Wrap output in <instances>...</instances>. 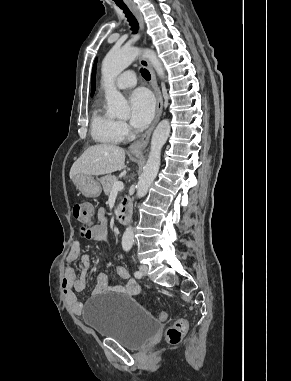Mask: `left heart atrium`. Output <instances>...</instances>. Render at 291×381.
Here are the masks:
<instances>
[{
	"instance_id": "obj_1",
	"label": "left heart atrium",
	"mask_w": 291,
	"mask_h": 381,
	"mask_svg": "<svg viewBox=\"0 0 291 381\" xmlns=\"http://www.w3.org/2000/svg\"><path fill=\"white\" fill-rule=\"evenodd\" d=\"M130 122L136 129L145 128L153 118L155 110L154 98L147 90L140 88L130 96Z\"/></svg>"
}]
</instances>
